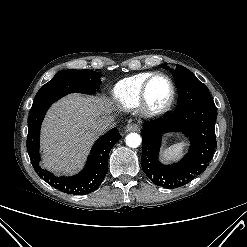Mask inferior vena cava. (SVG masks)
<instances>
[{
    "mask_svg": "<svg viewBox=\"0 0 247 247\" xmlns=\"http://www.w3.org/2000/svg\"><path fill=\"white\" fill-rule=\"evenodd\" d=\"M113 118L112 117H102L99 118L92 124V130L96 134H103L106 132L112 125Z\"/></svg>",
    "mask_w": 247,
    "mask_h": 247,
    "instance_id": "obj_1",
    "label": "inferior vena cava"
}]
</instances>
